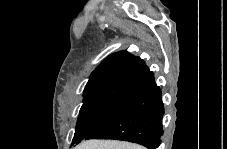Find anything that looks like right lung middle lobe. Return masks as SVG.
Here are the masks:
<instances>
[{
  "instance_id": "right-lung-middle-lobe-1",
  "label": "right lung middle lobe",
  "mask_w": 227,
  "mask_h": 149,
  "mask_svg": "<svg viewBox=\"0 0 227 149\" xmlns=\"http://www.w3.org/2000/svg\"><path fill=\"white\" fill-rule=\"evenodd\" d=\"M136 91L135 88L113 85L85 95L72 144H79L92 131L112 119Z\"/></svg>"
}]
</instances>
